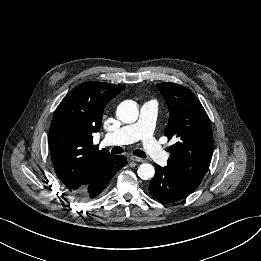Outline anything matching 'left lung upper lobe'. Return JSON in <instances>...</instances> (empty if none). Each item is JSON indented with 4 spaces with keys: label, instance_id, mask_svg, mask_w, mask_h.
<instances>
[{
    "label": "left lung upper lobe",
    "instance_id": "obj_1",
    "mask_svg": "<svg viewBox=\"0 0 261 261\" xmlns=\"http://www.w3.org/2000/svg\"><path fill=\"white\" fill-rule=\"evenodd\" d=\"M165 98L170 117L164 135L177 142L167 149V168L187 189L194 191L206 174L213 152L209 117L196 96L179 84H157Z\"/></svg>",
    "mask_w": 261,
    "mask_h": 261
}]
</instances>
